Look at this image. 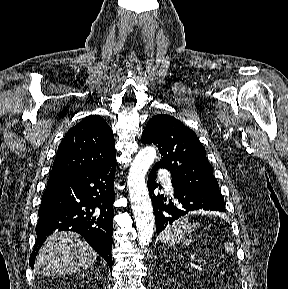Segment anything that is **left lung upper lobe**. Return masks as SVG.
Wrapping results in <instances>:
<instances>
[{
	"instance_id": "left-lung-upper-lobe-1",
	"label": "left lung upper lobe",
	"mask_w": 288,
	"mask_h": 289,
	"mask_svg": "<svg viewBox=\"0 0 288 289\" xmlns=\"http://www.w3.org/2000/svg\"><path fill=\"white\" fill-rule=\"evenodd\" d=\"M141 142L157 145L161 160L155 165L170 171L172 183L224 200L205 148L181 121L164 114L154 116L147 123Z\"/></svg>"
}]
</instances>
